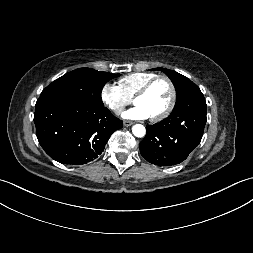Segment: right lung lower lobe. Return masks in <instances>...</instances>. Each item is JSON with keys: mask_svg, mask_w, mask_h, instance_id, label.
<instances>
[{"mask_svg": "<svg viewBox=\"0 0 253 253\" xmlns=\"http://www.w3.org/2000/svg\"><path fill=\"white\" fill-rule=\"evenodd\" d=\"M36 135L45 152L63 164H86L123 127L106 107L60 97L40 96L34 113Z\"/></svg>", "mask_w": 253, "mask_h": 253, "instance_id": "98d812e1", "label": "right lung lower lobe"}]
</instances>
